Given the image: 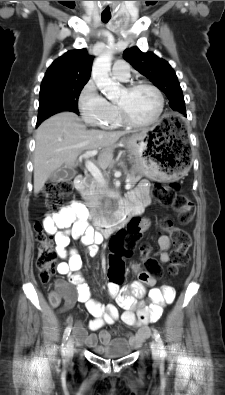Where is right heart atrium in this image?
<instances>
[{
    "label": "right heart atrium",
    "mask_w": 225,
    "mask_h": 395,
    "mask_svg": "<svg viewBox=\"0 0 225 395\" xmlns=\"http://www.w3.org/2000/svg\"><path fill=\"white\" fill-rule=\"evenodd\" d=\"M78 107L84 122L92 127H105L115 114L112 104L98 92L92 80L83 87Z\"/></svg>",
    "instance_id": "right-heart-atrium-1"
}]
</instances>
